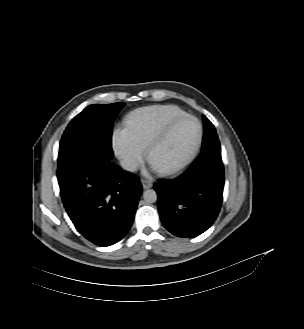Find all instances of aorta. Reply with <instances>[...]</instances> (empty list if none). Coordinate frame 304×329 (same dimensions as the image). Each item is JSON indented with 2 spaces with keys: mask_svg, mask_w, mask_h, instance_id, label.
<instances>
[{
  "mask_svg": "<svg viewBox=\"0 0 304 329\" xmlns=\"http://www.w3.org/2000/svg\"><path fill=\"white\" fill-rule=\"evenodd\" d=\"M143 198L146 203H154L157 201V193L153 189H148L143 192Z\"/></svg>",
  "mask_w": 304,
  "mask_h": 329,
  "instance_id": "762f6f07",
  "label": "aorta"
}]
</instances>
